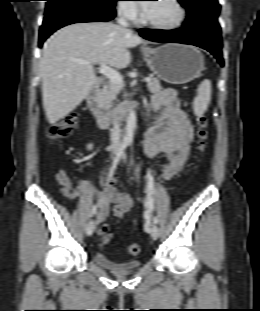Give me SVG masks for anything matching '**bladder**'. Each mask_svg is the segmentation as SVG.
Returning a JSON list of instances; mask_svg holds the SVG:
<instances>
[{
  "label": "bladder",
  "mask_w": 260,
  "mask_h": 311,
  "mask_svg": "<svg viewBox=\"0 0 260 311\" xmlns=\"http://www.w3.org/2000/svg\"><path fill=\"white\" fill-rule=\"evenodd\" d=\"M92 259L99 266L112 272L132 271V270L138 269L141 265V260L139 259L125 260L122 262H114L102 250L94 251Z\"/></svg>",
  "instance_id": "obj_1"
}]
</instances>
